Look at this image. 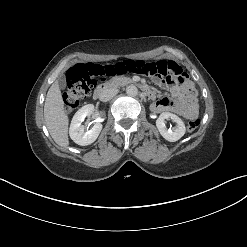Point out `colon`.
Here are the masks:
<instances>
[{
  "label": "colon",
  "instance_id": "colon-1",
  "mask_svg": "<svg viewBox=\"0 0 247 247\" xmlns=\"http://www.w3.org/2000/svg\"><path fill=\"white\" fill-rule=\"evenodd\" d=\"M143 66L142 60H124L114 64L79 63L66 74L63 101L67 111H73L90 94L98 79L134 72ZM199 119L188 122L187 130L195 131L200 126Z\"/></svg>",
  "mask_w": 247,
  "mask_h": 247
}]
</instances>
